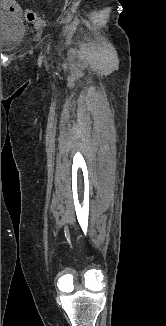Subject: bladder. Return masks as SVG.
<instances>
[{
	"label": "bladder",
	"mask_w": 166,
	"mask_h": 326,
	"mask_svg": "<svg viewBox=\"0 0 166 326\" xmlns=\"http://www.w3.org/2000/svg\"><path fill=\"white\" fill-rule=\"evenodd\" d=\"M23 19L10 11L1 10V51L18 47L24 36Z\"/></svg>",
	"instance_id": "31cf9c89"
}]
</instances>
